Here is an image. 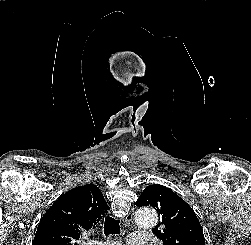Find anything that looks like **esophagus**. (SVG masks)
Segmentation results:
<instances>
[{
    "label": "esophagus",
    "mask_w": 251,
    "mask_h": 245,
    "mask_svg": "<svg viewBox=\"0 0 251 245\" xmlns=\"http://www.w3.org/2000/svg\"><path fill=\"white\" fill-rule=\"evenodd\" d=\"M133 216H134V209H131L126 217L123 219V222L125 224H130L133 221Z\"/></svg>",
    "instance_id": "34e87169"
}]
</instances>
